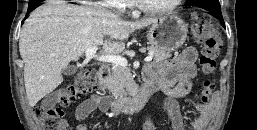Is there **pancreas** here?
<instances>
[{"label":"pancreas","mask_w":257,"mask_h":130,"mask_svg":"<svg viewBox=\"0 0 257 130\" xmlns=\"http://www.w3.org/2000/svg\"><path fill=\"white\" fill-rule=\"evenodd\" d=\"M147 50L153 53L156 62L171 57V50L155 46H149ZM105 85L116 100H124L135 88L130 68L127 66L113 65L111 74L105 80Z\"/></svg>","instance_id":"cf45deb5"}]
</instances>
